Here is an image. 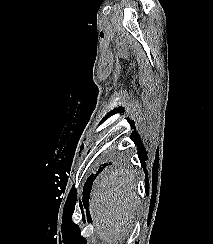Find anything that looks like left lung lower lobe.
<instances>
[{
    "instance_id": "0a47b994",
    "label": "left lung lower lobe",
    "mask_w": 213,
    "mask_h": 244,
    "mask_svg": "<svg viewBox=\"0 0 213 244\" xmlns=\"http://www.w3.org/2000/svg\"><path fill=\"white\" fill-rule=\"evenodd\" d=\"M139 147V145H138ZM108 164H105L102 168H100L98 170V172L95 174V176L92 174L86 181L85 183V186H84V191H83V194H84V198L86 201H88L89 199V194H90V190H91V185H92V182H93V179L96 178V176L103 170V168H105Z\"/></svg>"
}]
</instances>
